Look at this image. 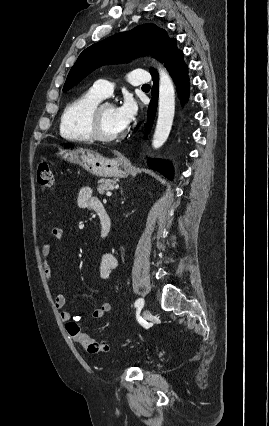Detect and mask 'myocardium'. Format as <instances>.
<instances>
[{
  "mask_svg": "<svg viewBox=\"0 0 269 426\" xmlns=\"http://www.w3.org/2000/svg\"><path fill=\"white\" fill-rule=\"evenodd\" d=\"M105 107H114L111 102L100 101L97 103L90 112L89 115V129L92 135V138L102 142V143H113L123 139L126 135V132L121 133L118 136L109 137L103 134L100 126V116L101 112Z\"/></svg>",
  "mask_w": 269,
  "mask_h": 426,
  "instance_id": "obj_1",
  "label": "myocardium"
}]
</instances>
